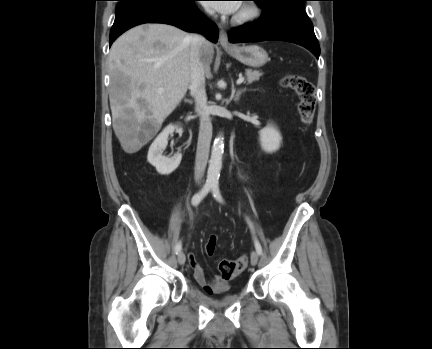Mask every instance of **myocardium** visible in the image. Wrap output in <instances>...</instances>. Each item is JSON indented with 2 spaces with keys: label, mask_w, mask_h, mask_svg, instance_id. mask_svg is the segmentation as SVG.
<instances>
[{
  "label": "myocardium",
  "mask_w": 432,
  "mask_h": 349,
  "mask_svg": "<svg viewBox=\"0 0 432 349\" xmlns=\"http://www.w3.org/2000/svg\"><path fill=\"white\" fill-rule=\"evenodd\" d=\"M261 14L259 6L254 2H247L241 10L233 17L232 21L235 24L242 25L253 22Z\"/></svg>",
  "instance_id": "myocardium-1"
}]
</instances>
